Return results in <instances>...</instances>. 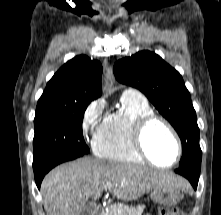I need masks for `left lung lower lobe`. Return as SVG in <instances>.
Wrapping results in <instances>:
<instances>
[{"label":"left lung lower lobe","mask_w":221,"mask_h":215,"mask_svg":"<svg viewBox=\"0 0 221 215\" xmlns=\"http://www.w3.org/2000/svg\"><path fill=\"white\" fill-rule=\"evenodd\" d=\"M176 173L187 178L192 184L193 188L197 189V184L200 176V169L194 168H178L175 170Z\"/></svg>","instance_id":"1"}]
</instances>
